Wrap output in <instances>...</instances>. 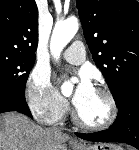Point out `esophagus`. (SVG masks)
Listing matches in <instances>:
<instances>
[{"label":"esophagus","mask_w":139,"mask_h":150,"mask_svg":"<svg viewBox=\"0 0 139 150\" xmlns=\"http://www.w3.org/2000/svg\"><path fill=\"white\" fill-rule=\"evenodd\" d=\"M71 142H72L73 144H80V142L77 141V140H75V139L71 140Z\"/></svg>","instance_id":"1"}]
</instances>
